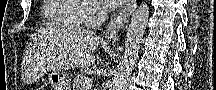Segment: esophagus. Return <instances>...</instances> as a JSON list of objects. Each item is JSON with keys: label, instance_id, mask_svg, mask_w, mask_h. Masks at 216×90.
Listing matches in <instances>:
<instances>
[{"label": "esophagus", "instance_id": "1", "mask_svg": "<svg viewBox=\"0 0 216 90\" xmlns=\"http://www.w3.org/2000/svg\"><path fill=\"white\" fill-rule=\"evenodd\" d=\"M135 5V0H128L123 6L117 10L111 18V22L107 27L105 40L109 42H117L120 37V31L126 25L129 15Z\"/></svg>", "mask_w": 216, "mask_h": 90}]
</instances>
